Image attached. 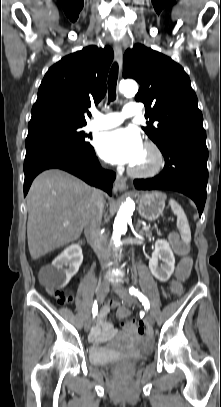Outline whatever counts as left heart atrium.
Masks as SVG:
<instances>
[{"mask_svg":"<svg viewBox=\"0 0 221 407\" xmlns=\"http://www.w3.org/2000/svg\"><path fill=\"white\" fill-rule=\"evenodd\" d=\"M97 150L108 162L133 165L143 150L140 135L133 129L119 128L102 133Z\"/></svg>","mask_w":221,"mask_h":407,"instance_id":"left-heart-atrium-1","label":"left heart atrium"}]
</instances>
